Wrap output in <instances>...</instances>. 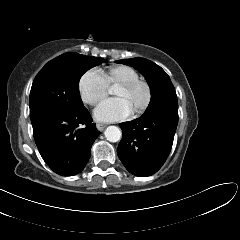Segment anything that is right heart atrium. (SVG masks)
Masks as SVG:
<instances>
[{
	"mask_svg": "<svg viewBox=\"0 0 240 240\" xmlns=\"http://www.w3.org/2000/svg\"><path fill=\"white\" fill-rule=\"evenodd\" d=\"M78 90L83 103L95 105L109 92V85L96 71H87L79 79Z\"/></svg>",
	"mask_w": 240,
	"mask_h": 240,
	"instance_id": "d8ad5b80",
	"label": "right heart atrium"
}]
</instances>
